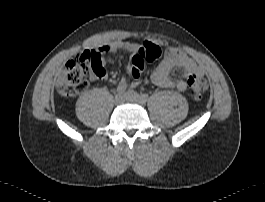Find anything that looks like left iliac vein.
<instances>
[{
  "mask_svg": "<svg viewBox=\"0 0 265 202\" xmlns=\"http://www.w3.org/2000/svg\"><path fill=\"white\" fill-rule=\"evenodd\" d=\"M125 95H126V100L128 102L135 103L141 106L145 104L144 101L141 99V97L134 91L129 90L125 93Z\"/></svg>",
  "mask_w": 265,
  "mask_h": 202,
  "instance_id": "obj_1",
  "label": "left iliac vein"
}]
</instances>
